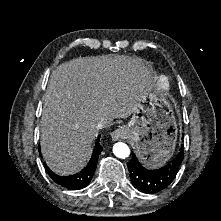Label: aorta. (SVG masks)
Instances as JSON below:
<instances>
[{
  "label": "aorta",
  "mask_w": 221,
  "mask_h": 221,
  "mask_svg": "<svg viewBox=\"0 0 221 221\" xmlns=\"http://www.w3.org/2000/svg\"><path fill=\"white\" fill-rule=\"evenodd\" d=\"M113 153L116 157L125 159L130 155V149L125 143L118 142L113 146Z\"/></svg>",
  "instance_id": "obj_1"
}]
</instances>
